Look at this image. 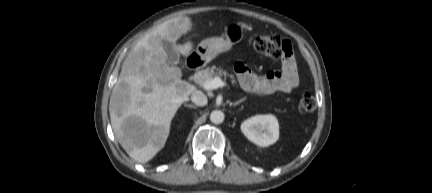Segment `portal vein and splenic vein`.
<instances>
[{
	"label": "portal vein and splenic vein",
	"instance_id": "obj_1",
	"mask_svg": "<svg viewBox=\"0 0 432 193\" xmlns=\"http://www.w3.org/2000/svg\"><path fill=\"white\" fill-rule=\"evenodd\" d=\"M224 86H225V82L222 81V79L218 76L214 77L211 80L206 81L203 84V87L206 90H213V89H217L219 87H224Z\"/></svg>",
	"mask_w": 432,
	"mask_h": 193
}]
</instances>
